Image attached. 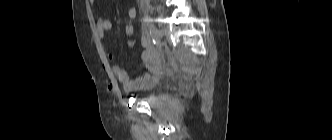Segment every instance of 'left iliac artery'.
Here are the masks:
<instances>
[{
  "mask_svg": "<svg viewBox=\"0 0 332 140\" xmlns=\"http://www.w3.org/2000/svg\"><path fill=\"white\" fill-rule=\"evenodd\" d=\"M144 22L146 23V27L151 35L154 34V24H153V19L149 15H145L144 17Z\"/></svg>",
  "mask_w": 332,
  "mask_h": 140,
  "instance_id": "44dca946",
  "label": "left iliac artery"
}]
</instances>
